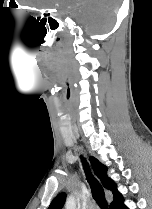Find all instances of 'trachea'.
Wrapping results in <instances>:
<instances>
[{"label": "trachea", "mask_w": 152, "mask_h": 209, "mask_svg": "<svg viewBox=\"0 0 152 209\" xmlns=\"http://www.w3.org/2000/svg\"><path fill=\"white\" fill-rule=\"evenodd\" d=\"M82 163L84 166L87 180H88L90 187H91L92 196H93L94 200L97 202V204L100 206L101 209H108V204L105 199L104 190H103L101 184L91 174L90 169L88 167V163L86 162V160L84 158H82Z\"/></svg>", "instance_id": "1"}]
</instances>
